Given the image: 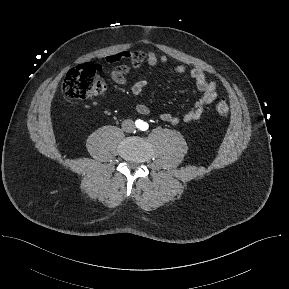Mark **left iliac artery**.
Instances as JSON below:
<instances>
[{
	"mask_svg": "<svg viewBox=\"0 0 289 289\" xmlns=\"http://www.w3.org/2000/svg\"><path fill=\"white\" fill-rule=\"evenodd\" d=\"M143 130H146L148 128V124L147 123H144L143 126H142Z\"/></svg>",
	"mask_w": 289,
	"mask_h": 289,
	"instance_id": "44dca946",
	"label": "left iliac artery"
}]
</instances>
